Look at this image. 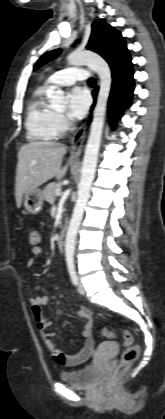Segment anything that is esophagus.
I'll return each mask as SVG.
<instances>
[{"label":"esophagus","instance_id":"obj_1","mask_svg":"<svg viewBox=\"0 0 165 419\" xmlns=\"http://www.w3.org/2000/svg\"><path fill=\"white\" fill-rule=\"evenodd\" d=\"M86 129H87V121H85L81 125V127L77 130V132L75 133L72 139L71 148H70V154L72 156H78L80 154L82 142L86 134Z\"/></svg>","mask_w":165,"mask_h":419}]
</instances>
